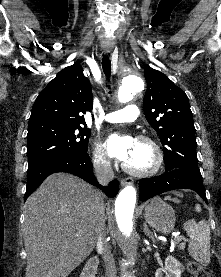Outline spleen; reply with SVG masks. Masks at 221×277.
Returning <instances> with one entry per match:
<instances>
[{
    "instance_id": "spleen-1",
    "label": "spleen",
    "mask_w": 221,
    "mask_h": 277,
    "mask_svg": "<svg viewBox=\"0 0 221 277\" xmlns=\"http://www.w3.org/2000/svg\"><path fill=\"white\" fill-rule=\"evenodd\" d=\"M166 200H170L171 197H165ZM174 202H179L178 199L174 198ZM197 212L201 211V207L196 205ZM184 230L190 237L188 245L189 255L194 258L197 262L203 266H207L210 262V229L205 220L196 223L195 220L191 219L184 223Z\"/></svg>"
}]
</instances>
